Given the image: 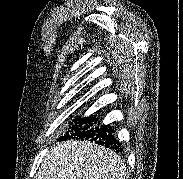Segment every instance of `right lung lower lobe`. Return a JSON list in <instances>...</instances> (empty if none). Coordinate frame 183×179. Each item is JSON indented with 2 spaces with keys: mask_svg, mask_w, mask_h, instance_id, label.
Returning <instances> with one entry per match:
<instances>
[{
  "mask_svg": "<svg viewBox=\"0 0 183 179\" xmlns=\"http://www.w3.org/2000/svg\"><path fill=\"white\" fill-rule=\"evenodd\" d=\"M114 132L111 127L102 125L101 127L96 126L89 128L85 131L81 136H75L77 139L81 140H89L91 142H95L97 144L103 145L105 147H110L111 149H115L116 151H121L119 148L120 143L116 141L114 136L112 135Z\"/></svg>",
  "mask_w": 183,
  "mask_h": 179,
  "instance_id": "1",
  "label": "right lung lower lobe"
}]
</instances>
